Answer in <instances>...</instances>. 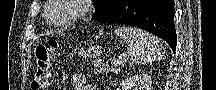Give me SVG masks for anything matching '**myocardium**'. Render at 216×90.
Segmentation results:
<instances>
[{
    "label": "myocardium",
    "instance_id": "obj_1",
    "mask_svg": "<svg viewBox=\"0 0 216 90\" xmlns=\"http://www.w3.org/2000/svg\"><path fill=\"white\" fill-rule=\"evenodd\" d=\"M88 3H96V0H50L48 5H52L50 11L45 12V22L53 29H63L81 20L90 11ZM66 7L70 14L65 19L58 21L53 15H57L58 9Z\"/></svg>",
    "mask_w": 216,
    "mask_h": 90
}]
</instances>
